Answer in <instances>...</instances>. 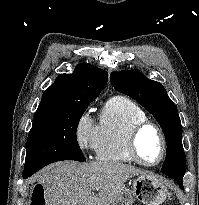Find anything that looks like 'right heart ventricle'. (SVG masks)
Wrapping results in <instances>:
<instances>
[{"instance_id": "e07e8e85", "label": "right heart ventricle", "mask_w": 199, "mask_h": 205, "mask_svg": "<svg viewBox=\"0 0 199 205\" xmlns=\"http://www.w3.org/2000/svg\"><path fill=\"white\" fill-rule=\"evenodd\" d=\"M147 120L143 109L131 99L114 96L103 106L96 131L95 152L98 161L128 164L133 160L127 152V137L131 128Z\"/></svg>"}]
</instances>
